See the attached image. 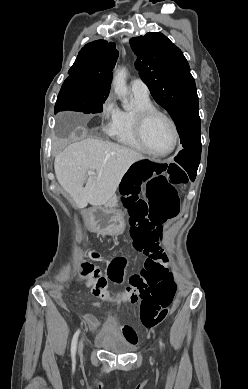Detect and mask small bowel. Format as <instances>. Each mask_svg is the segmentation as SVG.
<instances>
[{
  "instance_id": "c3829d8e",
  "label": "small bowel",
  "mask_w": 248,
  "mask_h": 389,
  "mask_svg": "<svg viewBox=\"0 0 248 389\" xmlns=\"http://www.w3.org/2000/svg\"><path fill=\"white\" fill-rule=\"evenodd\" d=\"M94 307L101 308L102 304L99 302L93 303ZM86 320L90 323L92 328H96L98 326H101L102 331L111 336H117L118 331H120L123 338L128 340L132 344H136L138 341L137 334L134 331V329L130 326H120L118 323L114 321H108L106 323L100 324L91 314L86 313L85 314Z\"/></svg>"
}]
</instances>
